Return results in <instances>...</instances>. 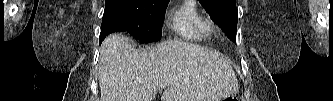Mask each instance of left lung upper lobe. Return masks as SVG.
<instances>
[{
  "label": "left lung upper lobe",
  "mask_w": 333,
  "mask_h": 101,
  "mask_svg": "<svg viewBox=\"0 0 333 101\" xmlns=\"http://www.w3.org/2000/svg\"><path fill=\"white\" fill-rule=\"evenodd\" d=\"M211 19L236 42L238 10L235 0H199Z\"/></svg>",
  "instance_id": "5c2ea615"
}]
</instances>
